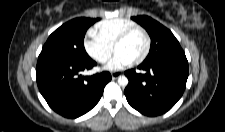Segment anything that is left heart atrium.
I'll list each match as a JSON object with an SVG mask.
<instances>
[{
    "label": "left heart atrium",
    "mask_w": 225,
    "mask_h": 132,
    "mask_svg": "<svg viewBox=\"0 0 225 132\" xmlns=\"http://www.w3.org/2000/svg\"><path fill=\"white\" fill-rule=\"evenodd\" d=\"M132 60L121 52H116L114 57L106 65V69L110 71H118L128 66Z\"/></svg>",
    "instance_id": "1"
}]
</instances>
